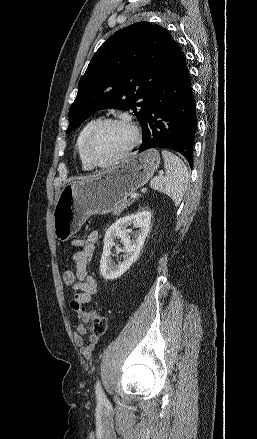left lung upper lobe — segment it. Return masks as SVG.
Instances as JSON below:
<instances>
[{
    "label": "left lung upper lobe",
    "instance_id": "obj_1",
    "mask_svg": "<svg viewBox=\"0 0 257 439\" xmlns=\"http://www.w3.org/2000/svg\"><path fill=\"white\" fill-rule=\"evenodd\" d=\"M177 49L168 31L148 22L114 33L95 53L79 81L67 133L91 113L109 108L132 110L141 124Z\"/></svg>",
    "mask_w": 257,
    "mask_h": 439
}]
</instances>
